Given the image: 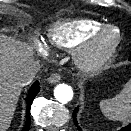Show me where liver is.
I'll list each match as a JSON object with an SVG mask.
<instances>
[{
	"label": "liver",
	"mask_w": 131,
	"mask_h": 131,
	"mask_svg": "<svg viewBox=\"0 0 131 131\" xmlns=\"http://www.w3.org/2000/svg\"><path fill=\"white\" fill-rule=\"evenodd\" d=\"M32 49L0 36V131H7L16 109L22 85L18 75L32 61Z\"/></svg>",
	"instance_id": "6515ba94"
}]
</instances>
